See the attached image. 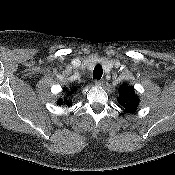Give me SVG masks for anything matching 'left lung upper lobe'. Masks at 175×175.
Masks as SVG:
<instances>
[{"label":"left lung upper lobe","mask_w":175,"mask_h":175,"mask_svg":"<svg viewBox=\"0 0 175 175\" xmlns=\"http://www.w3.org/2000/svg\"><path fill=\"white\" fill-rule=\"evenodd\" d=\"M118 102L124 107L125 112L132 113L136 111L139 100L135 94L133 86H128L126 84L122 86Z\"/></svg>","instance_id":"5c2ea615"}]
</instances>
